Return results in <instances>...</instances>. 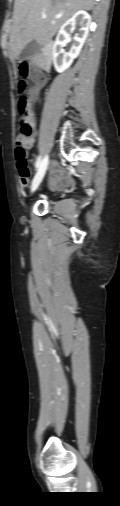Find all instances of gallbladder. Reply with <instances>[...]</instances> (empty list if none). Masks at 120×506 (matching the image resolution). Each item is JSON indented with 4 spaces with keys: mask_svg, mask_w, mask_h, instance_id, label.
Returning <instances> with one entry per match:
<instances>
[{
    "mask_svg": "<svg viewBox=\"0 0 120 506\" xmlns=\"http://www.w3.org/2000/svg\"><path fill=\"white\" fill-rule=\"evenodd\" d=\"M39 49V45L35 40L30 41L22 50L20 57L23 59H28L33 57Z\"/></svg>",
    "mask_w": 120,
    "mask_h": 506,
    "instance_id": "gallbladder-1",
    "label": "gallbladder"
}]
</instances>
